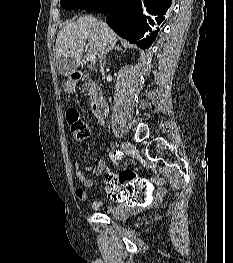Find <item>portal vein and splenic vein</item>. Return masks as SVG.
<instances>
[{"mask_svg": "<svg viewBox=\"0 0 233 263\" xmlns=\"http://www.w3.org/2000/svg\"><path fill=\"white\" fill-rule=\"evenodd\" d=\"M80 44H81L82 46H86V43H85V42H80ZM95 59H96L95 55H93V54L87 55V60H88V61L94 62Z\"/></svg>", "mask_w": 233, "mask_h": 263, "instance_id": "portal-vein-and-splenic-vein-1", "label": "portal vein and splenic vein"}]
</instances>
